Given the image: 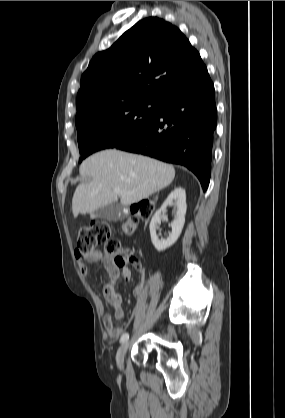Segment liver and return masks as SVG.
Instances as JSON below:
<instances>
[{"label": "liver", "instance_id": "1", "mask_svg": "<svg viewBox=\"0 0 285 418\" xmlns=\"http://www.w3.org/2000/svg\"><path fill=\"white\" fill-rule=\"evenodd\" d=\"M79 171L92 181L77 186L72 198L74 216L117 202L119 197L123 206H129L167 187L175 177L169 164L115 149L89 156ZM116 189L122 193H115Z\"/></svg>", "mask_w": 285, "mask_h": 418}]
</instances>
